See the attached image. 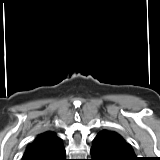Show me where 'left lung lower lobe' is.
Returning a JSON list of instances; mask_svg holds the SVG:
<instances>
[{
    "label": "left lung lower lobe",
    "mask_w": 160,
    "mask_h": 160,
    "mask_svg": "<svg viewBox=\"0 0 160 160\" xmlns=\"http://www.w3.org/2000/svg\"><path fill=\"white\" fill-rule=\"evenodd\" d=\"M91 160H133L124 155L110 138L104 133H98L91 147Z\"/></svg>",
    "instance_id": "1"
}]
</instances>
